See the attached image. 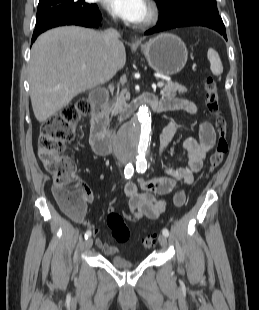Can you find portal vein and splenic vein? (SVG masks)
<instances>
[{"mask_svg": "<svg viewBox=\"0 0 259 310\" xmlns=\"http://www.w3.org/2000/svg\"><path fill=\"white\" fill-rule=\"evenodd\" d=\"M85 68H86V66L83 65V66H82V69H85ZM157 86L161 88V87L164 86V83H163V82H158V83H157Z\"/></svg>", "mask_w": 259, "mask_h": 310, "instance_id": "1", "label": "portal vein and splenic vein"}]
</instances>
